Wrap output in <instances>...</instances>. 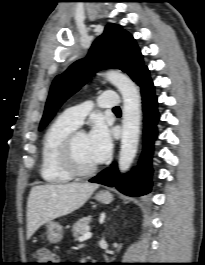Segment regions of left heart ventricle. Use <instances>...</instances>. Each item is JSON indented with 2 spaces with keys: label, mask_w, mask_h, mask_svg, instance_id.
Returning a JSON list of instances; mask_svg holds the SVG:
<instances>
[{
  "label": "left heart ventricle",
  "mask_w": 205,
  "mask_h": 265,
  "mask_svg": "<svg viewBox=\"0 0 205 265\" xmlns=\"http://www.w3.org/2000/svg\"><path fill=\"white\" fill-rule=\"evenodd\" d=\"M74 155L78 166L81 168H89L96 164L88 146V139L86 134H80L74 144Z\"/></svg>",
  "instance_id": "left-heart-ventricle-1"
}]
</instances>
